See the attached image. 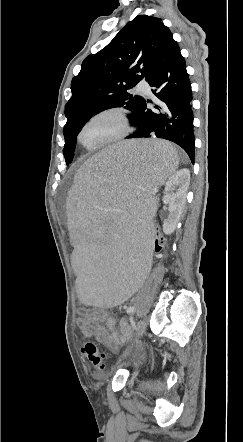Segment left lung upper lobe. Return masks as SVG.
<instances>
[{
	"mask_svg": "<svg viewBox=\"0 0 243 442\" xmlns=\"http://www.w3.org/2000/svg\"><path fill=\"white\" fill-rule=\"evenodd\" d=\"M169 34L160 18L138 15L105 48L84 59L81 71L72 79V97L65 106L66 163L73 160L78 133L95 114L124 107L133 113L129 120L134 118L145 99L128 90L145 78Z\"/></svg>",
	"mask_w": 243,
	"mask_h": 442,
	"instance_id": "1",
	"label": "left lung upper lobe"
}]
</instances>
